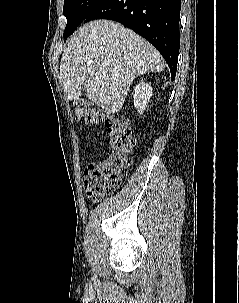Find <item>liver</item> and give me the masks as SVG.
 I'll use <instances>...</instances> for the list:
<instances>
[{"label":"liver","mask_w":239,"mask_h":303,"mask_svg":"<svg viewBox=\"0 0 239 303\" xmlns=\"http://www.w3.org/2000/svg\"><path fill=\"white\" fill-rule=\"evenodd\" d=\"M164 62L145 39L109 20L80 27L67 41L60 77L69 100L86 97L109 113L119 112L136 76L161 72Z\"/></svg>","instance_id":"obj_1"}]
</instances>
